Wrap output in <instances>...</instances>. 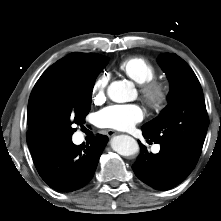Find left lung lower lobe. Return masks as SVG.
<instances>
[{
  "label": "left lung lower lobe",
  "mask_w": 221,
  "mask_h": 221,
  "mask_svg": "<svg viewBox=\"0 0 221 221\" xmlns=\"http://www.w3.org/2000/svg\"><path fill=\"white\" fill-rule=\"evenodd\" d=\"M143 136L148 139L142 129ZM141 154L132 169L144 183L157 190H168L181 183L194 169L198 158L182 148L160 144V151L154 155L141 144Z\"/></svg>",
  "instance_id": "left-lung-lower-lobe-1"
}]
</instances>
